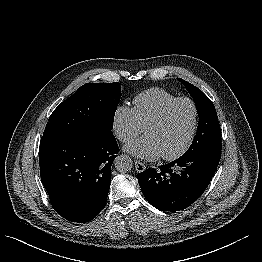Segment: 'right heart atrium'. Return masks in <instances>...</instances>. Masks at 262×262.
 <instances>
[{"mask_svg": "<svg viewBox=\"0 0 262 262\" xmlns=\"http://www.w3.org/2000/svg\"><path fill=\"white\" fill-rule=\"evenodd\" d=\"M112 130L119 141L128 143L143 131V127L139 123L133 108L122 104L113 113Z\"/></svg>", "mask_w": 262, "mask_h": 262, "instance_id": "obj_1", "label": "right heart atrium"}]
</instances>
